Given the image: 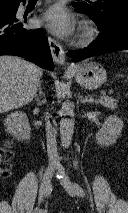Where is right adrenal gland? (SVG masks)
<instances>
[{
    "label": "right adrenal gland",
    "mask_w": 128,
    "mask_h": 213,
    "mask_svg": "<svg viewBox=\"0 0 128 213\" xmlns=\"http://www.w3.org/2000/svg\"><path fill=\"white\" fill-rule=\"evenodd\" d=\"M38 92H39V95L37 94L35 95V100L38 102V104H41L45 100V94L42 91L41 84H39ZM41 97H44V100L40 101Z\"/></svg>",
    "instance_id": "2a0ac1e0"
}]
</instances>
